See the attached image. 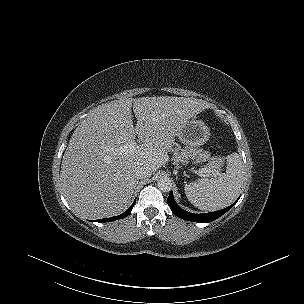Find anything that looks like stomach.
Here are the masks:
<instances>
[{"mask_svg":"<svg viewBox=\"0 0 304 304\" xmlns=\"http://www.w3.org/2000/svg\"><path fill=\"white\" fill-rule=\"evenodd\" d=\"M178 137L182 143L192 147V153L190 159L194 164H200L204 159L194 151L197 150L199 146L204 145L210 137L209 127L202 121L193 118L187 120L182 128L178 132Z\"/></svg>","mask_w":304,"mask_h":304,"instance_id":"0dacf381","label":"stomach"}]
</instances>
